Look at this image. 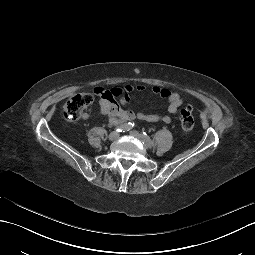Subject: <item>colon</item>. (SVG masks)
Segmentation results:
<instances>
[{
    "label": "colon",
    "instance_id": "obj_1",
    "mask_svg": "<svg viewBox=\"0 0 255 255\" xmlns=\"http://www.w3.org/2000/svg\"><path fill=\"white\" fill-rule=\"evenodd\" d=\"M110 95L119 96L120 91L110 90ZM94 101V96L90 93L80 92L71 95L63 106V114L69 120H76L83 115L84 110ZM181 129L184 133L190 132L195 124L192 108L186 106L180 111Z\"/></svg>",
    "mask_w": 255,
    "mask_h": 255
}]
</instances>
